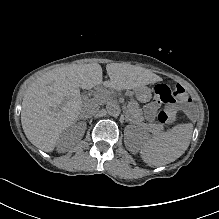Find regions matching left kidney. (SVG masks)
I'll list each match as a JSON object with an SVG mask.
<instances>
[{
  "label": "left kidney",
  "mask_w": 219,
  "mask_h": 219,
  "mask_svg": "<svg viewBox=\"0 0 219 219\" xmlns=\"http://www.w3.org/2000/svg\"><path fill=\"white\" fill-rule=\"evenodd\" d=\"M136 136H137L139 142L148 139V136L144 135L142 132H137Z\"/></svg>",
  "instance_id": "5707ae66"
}]
</instances>
